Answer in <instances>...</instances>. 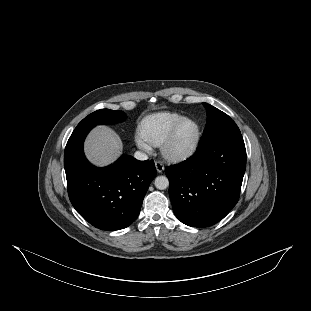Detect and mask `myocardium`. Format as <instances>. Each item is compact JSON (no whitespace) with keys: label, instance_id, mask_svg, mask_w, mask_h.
<instances>
[{"label":"myocardium","instance_id":"1","mask_svg":"<svg viewBox=\"0 0 311 311\" xmlns=\"http://www.w3.org/2000/svg\"><path fill=\"white\" fill-rule=\"evenodd\" d=\"M187 123H194L196 126V134L193 143L187 149L180 150L176 147V140L178 133L182 126ZM202 136V129L200 123L193 118H185L179 121L166 140L161 144L160 152L163 158L169 162H181L191 158L198 150Z\"/></svg>","mask_w":311,"mask_h":311}]
</instances>
